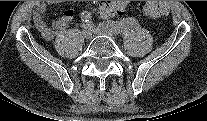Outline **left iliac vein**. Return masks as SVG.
Here are the masks:
<instances>
[{"instance_id": "obj_1", "label": "left iliac vein", "mask_w": 207, "mask_h": 121, "mask_svg": "<svg viewBox=\"0 0 207 121\" xmlns=\"http://www.w3.org/2000/svg\"><path fill=\"white\" fill-rule=\"evenodd\" d=\"M90 27L92 29V32L97 35H105L112 39L116 37V32L110 28H107L106 26H94L90 24Z\"/></svg>"}]
</instances>
